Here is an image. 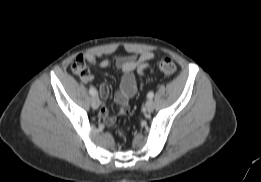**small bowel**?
I'll list each match as a JSON object with an SVG mask.
<instances>
[{"mask_svg": "<svg viewBox=\"0 0 261 182\" xmlns=\"http://www.w3.org/2000/svg\"><path fill=\"white\" fill-rule=\"evenodd\" d=\"M155 57V52L145 51L139 55L117 56L114 58L115 66L121 71L120 87L114 95L115 102L120 106V115H125L129 112V100L137 91V79L134 72L141 76L144 75L146 70L150 68V61ZM84 58L90 65L101 69L108 68L112 64V61L109 59L98 60L93 53H86ZM99 92L101 99L105 101L109 96V87L106 84H102ZM99 116L106 124H111L115 120L114 116L110 115L104 105L99 110Z\"/></svg>", "mask_w": 261, "mask_h": 182, "instance_id": "1", "label": "small bowel"}]
</instances>
